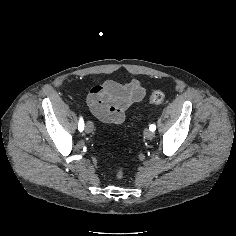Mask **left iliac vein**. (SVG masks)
<instances>
[{
    "instance_id": "left-iliac-vein-1",
    "label": "left iliac vein",
    "mask_w": 236,
    "mask_h": 236,
    "mask_svg": "<svg viewBox=\"0 0 236 236\" xmlns=\"http://www.w3.org/2000/svg\"><path fill=\"white\" fill-rule=\"evenodd\" d=\"M155 136V133L149 129H146L144 131V137L147 138V139H153Z\"/></svg>"
}]
</instances>
